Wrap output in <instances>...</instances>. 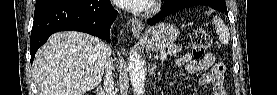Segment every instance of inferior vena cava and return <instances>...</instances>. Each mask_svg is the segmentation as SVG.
I'll return each instance as SVG.
<instances>
[{"instance_id":"obj_1","label":"inferior vena cava","mask_w":277,"mask_h":95,"mask_svg":"<svg viewBox=\"0 0 277 95\" xmlns=\"http://www.w3.org/2000/svg\"><path fill=\"white\" fill-rule=\"evenodd\" d=\"M112 70H113V66L109 57L108 62L106 63V74L104 79V90L107 92V95H116V92L114 91V81L112 78Z\"/></svg>"}]
</instances>
